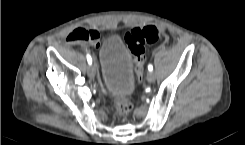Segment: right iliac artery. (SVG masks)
<instances>
[{
	"instance_id": "right-iliac-artery-1",
	"label": "right iliac artery",
	"mask_w": 245,
	"mask_h": 145,
	"mask_svg": "<svg viewBox=\"0 0 245 145\" xmlns=\"http://www.w3.org/2000/svg\"><path fill=\"white\" fill-rule=\"evenodd\" d=\"M87 61H88V64L91 65L92 64V58L89 54H87Z\"/></svg>"
}]
</instances>
